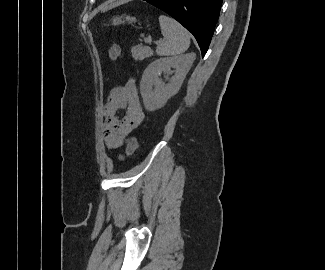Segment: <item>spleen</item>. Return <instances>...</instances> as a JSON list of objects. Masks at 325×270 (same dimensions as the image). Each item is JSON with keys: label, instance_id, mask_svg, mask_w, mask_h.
<instances>
[{"label": "spleen", "instance_id": "3e777b00", "mask_svg": "<svg viewBox=\"0 0 325 270\" xmlns=\"http://www.w3.org/2000/svg\"><path fill=\"white\" fill-rule=\"evenodd\" d=\"M159 23L165 41L158 44L157 55L175 56L187 51L190 46L188 31L176 20L166 15L159 17Z\"/></svg>", "mask_w": 325, "mask_h": 270}]
</instances>
